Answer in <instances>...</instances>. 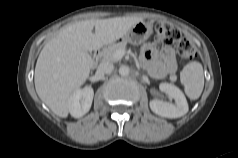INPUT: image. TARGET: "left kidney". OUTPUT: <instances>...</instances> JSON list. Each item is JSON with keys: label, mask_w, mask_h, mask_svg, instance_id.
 I'll use <instances>...</instances> for the list:
<instances>
[{"label": "left kidney", "mask_w": 238, "mask_h": 158, "mask_svg": "<svg viewBox=\"0 0 238 158\" xmlns=\"http://www.w3.org/2000/svg\"><path fill=\"white\" fill-rule=\"evenodd\" d=\"M160 90L165 92L175 103L164 102L161 100H151L149 105L151 110L162 117L178 118L185 115L188 110V103L184 93L175 85L169 83H161Z\"/></svg>", "instance_id": "1"}]
</instances>
